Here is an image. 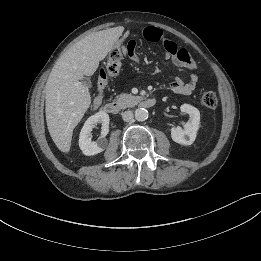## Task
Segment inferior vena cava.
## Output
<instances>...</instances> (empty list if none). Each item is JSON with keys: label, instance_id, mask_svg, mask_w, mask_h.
I'll use <instances>...</instances> for the list:
<instances>
[{"label": "inferior vena cava", "instance_id": "inferior-vena-cava-1", "mask_svg": "<svg viewBox=\"0 0 261 261\" xmlns=\"http://www.w3.org/2000/svg\"><path fill=\"white\" fill-rule=\"evenodd\" d=\"M122 119L125 121V122H129V121H132L133 120V112L130 111V110H127L125 112H122Z\"/></svg>", "mask_w": 261, "mask_h": 261}]
</instances>
